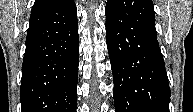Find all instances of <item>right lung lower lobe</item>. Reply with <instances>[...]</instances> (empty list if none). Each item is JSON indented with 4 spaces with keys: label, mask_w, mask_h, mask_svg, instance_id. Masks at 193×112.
<instances>
[{
    "label": "right lung lower lobe",
    "mask_w": 193,
    "mask_h": 112,
    "mask_svg": "<svg viewBox=\"0 0 193 112\" xmlns=\"http://www.w3.org/2000/svg\"><path fill=\"white\" fill-rule=\"evenodd\" d=\"M79 36L74 0L31 13L22 65V112H76Z\"/></svg>",
    "instance_id": "1"
}]
</instances>
